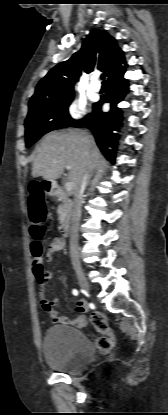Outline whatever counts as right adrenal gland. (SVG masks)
<instances>
[{
  "mask_svg": "<svg viewBox=\"0 0 168 415\" xmlns=\"http://www.w3.org/2000/svg\"><path fill=\"white\" fill-rule=\"evenodd\" d=\"M92 176H93V174H90L88 181L91 179Z\"/></svg>",
  "mask_w": 168,
  "mask_h": 415,
  "instance_id": "right-adrenal-gland-1",
  "label": "right adrenal gland"
}]
</instances>
